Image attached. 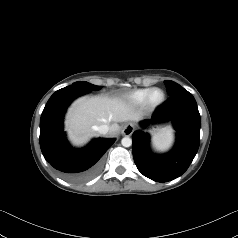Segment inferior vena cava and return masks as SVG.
<instances>
[{
	"label": "inferior vena cava",
	"mask_w": 238,
	"mask_h": 238,
	"mask_svg": "<svg viewBox=\"0 0 238 238\" xmlns=\"http://www.w3.org/2000/svg\"><path fill=\"white\" fill-rule=\"evenodd\" d=\"M97 131L98 133L105 135L109 132V126L105 124L100 125L99 127H97Z\"/></svg>",
	"instance_id": "1"
}]
</instances>
